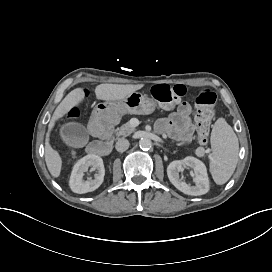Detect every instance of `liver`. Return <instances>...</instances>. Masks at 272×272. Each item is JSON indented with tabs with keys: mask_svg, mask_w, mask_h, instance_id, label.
I'll return each mask as SVG.
<instances>
[{
	"mask_svg": "<svg viewBox=\"0 0 272 272\" xmlns=\"http://www.w3.org/2000/svg\"><path fill=\"white\" fill-rule=\"evenodd\" d=\"M143 84L137 85H118V84H100L95 89L97 99L106 101H116L124 98L128 94L139 90ZM84 93L81 88L72 90L57 106L51 121L48 125V132L45 140V161L47 168L53 177L60 175L62 160L58 152L53 150L49 144V132L54 127L55 121L61 117L72 107L77 105L83 99Z\"/></svg>",
	"mask_w": 272,
	"mask_h": 272,
	"instance_id": "obj_1",
	"label": "liver"
}]
</instances>
